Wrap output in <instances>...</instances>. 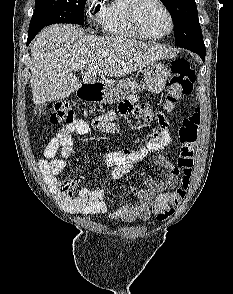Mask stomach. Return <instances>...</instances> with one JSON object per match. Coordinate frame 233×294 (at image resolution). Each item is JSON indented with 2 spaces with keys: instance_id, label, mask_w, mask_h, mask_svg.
I'll return each mask as SVG.
<instances>
[{
  "instance_id": "obj_1",
  "label": "stomach",
  "mask_w": 233,
  "mask_h": 294,
  "mask_svg": "<svg viewBox=\"0 0 233 294\" xmlns=\"http://www.w3.org/2000/svg\"><path fill=\"white\" fill-rule=\"evenodd\" d=\"M170 76L167 67L162 63L154 62L144 69V83L138 84L135 79L128 78L119 81L116 85H104L93 95V100L103 103H113L130 92H138L141 89L158 94L163 91Z\"/></svg>"
}]
</instances>
